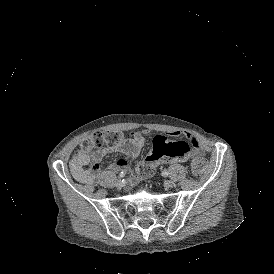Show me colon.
I'll return each instance as SVG.
<instances>
[{
	"mask_svg": "<svg viewBox=\"0 0 274 274\" xmlns=\"http://www.w3.org/2000/svg\"><path fill=\"white\" fill-rule=\"evenodd\" d=\"M120 139V134L112 131H98L90 136L84 138L81 142V147L85 154H90L96 151L102 143L108 142L109 144H114ZM81 157V153L79 151H74L72 154V159L74 161H78ZM207 154L204 151L194 152L193 158L190 161L192 164H195V170L198 173H205L208 170V162H207Z\"/></svg>",
	"mask_w": 274,
	"mask_h": 274,
	"instance_id": "1",
	"label": "colon"
}]
</instances>
